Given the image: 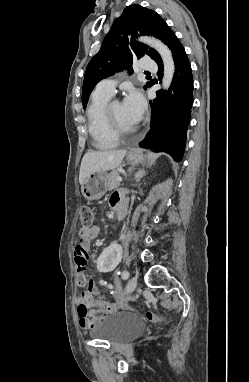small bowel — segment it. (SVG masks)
<instances>
[{
  "instance_id": "small-bowel-1",
  "label": "small bowel",
  "mask_w": 249,
  "mask_h": 382,
  "mask_svg": "<svg viewBox=\"0 0 249 382\" xmlns=\"http://www.w3.org/2000/svg\"><path fill=\"white\" fill-rule=\"evenodd\" d=\"M121 200H123V196L120 193H114L110 197V205L116 206ZM96 234L97 229L95 228H80L78 237L73 244L74 248H87L89 242ZM94 260H96V258ZM101 283L109 288L111 287V285L105 281ZM77 285L81 288H89V281H77ZM76 301L78 304L77 312L80 318L79 324L84 330H92L95 328L109 312V310L97 300L90 289L78 296Z\"/></svg>"
}]
</instances>
